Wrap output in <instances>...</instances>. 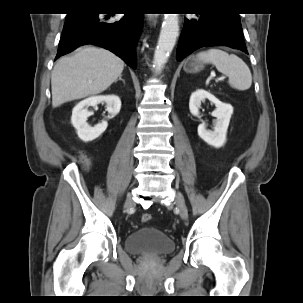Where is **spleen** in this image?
<instances>
[{
    "label": "spleen",
    "mask_w": 303,
    "mask_h": 303,
    "mask_svg": "<svg viewBox=\"0 0 303 303\" xmlns=\"http://www.w3.org/2000/svg\"><path fill=\"white\" fill-rule=\"evenodd\" d=\"M197 58L212 63L219 72L228 76L231 87L247 90L252 84V75L246 63L235 54H228L221 49L212 48L200 52Z\"/></svg>",
    "instance_id": "3e777b00"
}]
</instances>
